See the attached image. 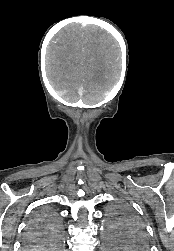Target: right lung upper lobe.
Instances as JSON below:
<instances>
[{
  "mask_svg": "<svg viewBox=\"0 0 174 251\" xmlns=\"http://www.w3.org/2000/svg\"><path fill=\"white\" fill-rule=\"evenodd\" d=\"M33 240H34L33 237H27V242L28 243H32Z\"/></svg>",
  "mask_w": 174,
  "mask_h": 251,
  "instance_id": "obj_1",
  "label": "right lung upper lobe"
}]
</instances>
